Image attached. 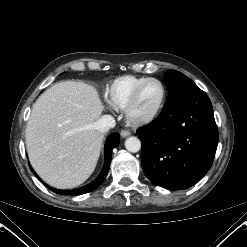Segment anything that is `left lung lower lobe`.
Listing matches in <instances>:
<instances>
[{
	"label": "left lung lower lobe",
	"mask_w": 247,
	"mask_h": 247,
	"mask_svg": "<svg viewBox=\"0 0 247 247\" xmlns=\"http://www.w3.org/2000/svg\"><path fill=\"white\" fill-rule=\"evenodd\" d=\"M137 133L144 173L168 190L186 189L202 179L218 144L212 104L200 88L173 95L161 114Z\"/></svg>",
	"instance_id": "left-lung-lower-lobe-1"
}]
</instances>
